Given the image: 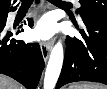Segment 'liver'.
<instances>
[{
    "mask_svg": "<svg viewBox=\"0 0 107 89\" xmlns=\"http://www.w3.org/2000/svg\"><path fill=\"white\" fill-rule=\"evenodd\" d=\"M0 89H23L16 81L6 76L0 77Z\"/></svg>",
    "mask_w": 107,
    "mask_h": 89,
    "instance_id": "obj_1",
    "label": "liver"
}]
</instances>
